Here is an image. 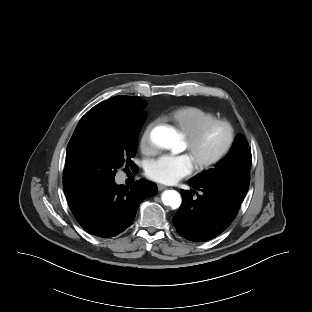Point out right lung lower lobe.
<instances>
[{
    "label": "right lung lower lobe",
    "instance_id": "98d812e1",
    "mask_svg": "<svg viewBox=\"0 0 312 312\" xmlns=\"http://www.w3.org/2000/svg\"><path fill=\"white\" fill-rule=\"evenodd\" d=\"M156 193L157 186L145 179L130 187L117 185L113 180L69 203V207L89 233L108 238L129 227L140 202Z\"/></svg>",
    "mask_w": 312,
    "mask_h": 312
}]
</instances>
